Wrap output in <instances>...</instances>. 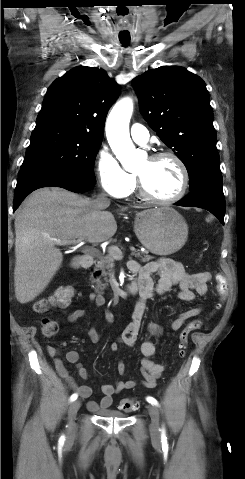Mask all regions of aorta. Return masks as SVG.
Instances as JSON below:
<instances>
[{"label":"aorta","mask_w":245,"mask_h":479,"mask_svg":"<svg viewBox=\"0 0 245 479\" xmlns=\"http://www.w3.org/2000/svg\"><path fill=\"white\" fill-rule=\"evenodd\" d=\"M133 112V101L126 97L115 104L106 123L108 143L117 159L127 171L136 169L139 155L129 135V122Z\"/></svg>","instance_id":"1"}]
</instances>
